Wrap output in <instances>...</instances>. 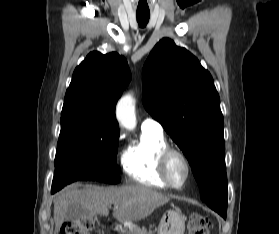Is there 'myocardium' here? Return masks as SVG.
I'll return each mask as SVG.
<instances>
[{
    "instance_id": "f54148a6",
    "label": "myocardium",
    "mask_w": 279,
    "mask_h": 234,
    "mask_svg": "<svg viewBox=\"0 0 279 234\" xmlns=\"http://www.w3.org/2000/svg\"><path fill=\"white\" fill-rule=\"evenodd\" d=\"M173 156L179 157L183 161L185 166L186 174L181 184H175L169 177L168 166H169V161ZM158 169H159L160 177L163 180V182L169 188L172 189L183 188L187 184L191 176V164L186 154L182 152L180 149L170 147V146H167L161 151L158 160Z\"/></svg>"
}]
</instances>
